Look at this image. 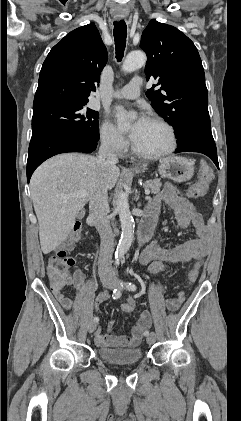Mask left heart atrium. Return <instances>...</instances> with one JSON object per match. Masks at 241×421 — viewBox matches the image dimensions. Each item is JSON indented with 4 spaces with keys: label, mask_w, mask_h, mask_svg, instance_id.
<instances>
[{
    "label": "left heart atrium",
    "mask_w": 241,
    "mask_h": 421,
    "mask_svg": "<svg viewBox=\"0 0 241 421\" xmlns=\"http://www.w3.org/2000/svg\"><path fill=\"white\" fill-rule=\"evenodd\" d=\"M147 119L145 117H140L136 123L134 124L132 131L130 133L131 139L134 141V139L137 137L139 131L144 127L146 124Z\"/></svg>",
    "instance_id": "39dd6f15"
}]
</instances>
